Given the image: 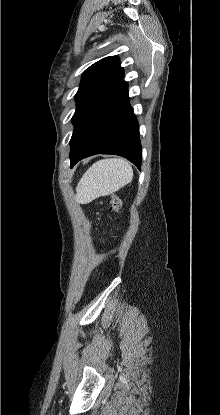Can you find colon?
<instances>
[{"label":"colon","mask_w":220,"mask_h":415,"mask_svg":"<svg viewBox=\"0 0 220 415\" xmlns=\"http://www.w3.org/2000/svg\"><path fill=\"white\" fill-rule=\"evenodd\" d=\"M110 205L113 211L118 212L122 207V201L118 196L114 195L111 197Z\"/></svg>","instance_id":"1"}]
</instances>
